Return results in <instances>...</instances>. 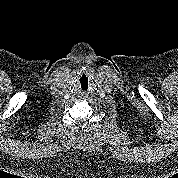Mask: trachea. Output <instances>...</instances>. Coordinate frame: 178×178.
Listing matches in <instances>:
<instances>
[{
	"mask_svg": "<svg viewBox=\"0 0 178 178\" xmlns=\"http://www.w3.org/2000/svg\"><path fill=\"white\" fill-rule=\"evenodd\" d=\"M78 86L81 90L86 91L89 87V81L86 76H82L79 80Z\"/></svg>",
	"mask_w": 178,
	"mask_h": 178,
	"instance_id": "obj_1",
	"label": "trachea"
}]
</instances>
